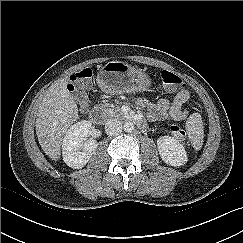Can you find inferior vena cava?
<instances>
[{"instance_id": "1", "label": "inferior vena cava", "mask_w": 243, "mask_h": 243, "mask_svg": "<svg viewBox=\"0 0 243 243\" xmlns=\"http://www.w3.org/2000/svg\"><path fill=\"white\" fill-rule=\"evenodd\" d=\"M122 122L118 119H109L105 124V132L108 135H118L122 132Z\"/></svg>"}]
</instances>
